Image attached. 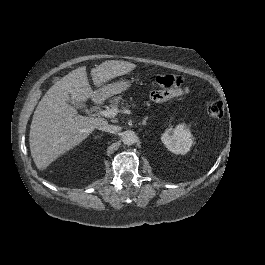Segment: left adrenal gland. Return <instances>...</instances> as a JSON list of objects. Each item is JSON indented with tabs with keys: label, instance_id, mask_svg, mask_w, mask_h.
<instances>
[{
	"label": "left adrenal gland",
	"instance_id": "1",
	"mask_svg": "<svg viewBox=\"0 0 265 265\" xmlns=\"http://www.w3.org/2000/svg\"><path fill=\"white\" fill-rule=\"evenodd\" d=\"M148 119V117L146 116L145 118H143L142 120V124L145 125L146 124V120Z\"/></svg>",
	"mask_w": 265,
	"mask_h": 265
}]
</instances>
